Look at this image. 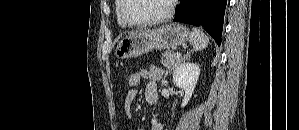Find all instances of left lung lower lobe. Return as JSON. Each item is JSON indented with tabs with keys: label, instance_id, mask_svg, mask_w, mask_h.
<instances>
[{
	"label": "left lung lower lobe",
	"instance_id": "left-lung-lower-lobe-1",
	"mask_svg": "<svg viewBox=\"0 0 299 130\" xmlns=\"http://www.w3.org/2000/svg\"><path fill=\"white\" fill-rule=\"evenodd\" d=\"M226 4L227 0H180L173 21L202 26L220 45Z\"/></svg>",
	"mask_w": 299,
	"mask_h": 130
}]
</instances>
